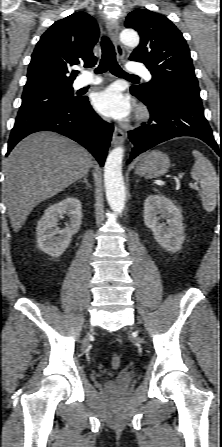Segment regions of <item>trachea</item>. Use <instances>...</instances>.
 <instances>
[{
    "instance_id": "trachea-1",
    "label": "trachea",
    "mask_w": 222,
    "mask_h": 447,
    "mask_svg": "<svg viewBox=\"0 0 222 447\" xmlns=\"http://www.w3.org/2000/svg\"><path fill=\"white\" fill-rule=\"evenodd\" d=\"M101 49H102V58L98 68L95 70L96 74H102L110 70V72L118 77L123 78H136V75H130L126 73L117 63L116 61V53L115 48L110 39L106 36H103L101 39Z\"/></svg>"
}]
</instances>
